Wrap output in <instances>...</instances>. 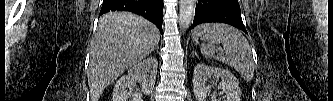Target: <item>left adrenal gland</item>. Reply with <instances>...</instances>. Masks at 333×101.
<instances>
[{
    "label": "left adrenal gland",
    "mask_w": 333,
    "mask_h": 101,
    "mask_svg": "<svg viewBox=\"0 0 333 101\" xmlns=\"http://www.w3.org/2000/svg\"><path fill=\"white\" fill-rule=\"evenodd\" d=\"M196 56L197 58H199V56L197 55L196 51H193L192 53V57Z\"/></svg>",
    "instance_id": "obj_1"
}]
</instances>
